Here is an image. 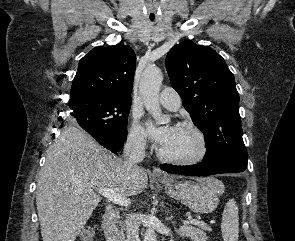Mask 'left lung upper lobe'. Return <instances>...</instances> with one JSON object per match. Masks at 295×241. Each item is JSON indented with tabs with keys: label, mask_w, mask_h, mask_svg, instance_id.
Returning a JSON list of instances; mask_svg holds the SVG:
<instances>
[{
	"label": "left lung upper lobe",
	"mask_w": 295,
	"mask_h": 241,
	"mask_svg": "<svg viewBox=\"0 0 295 241\" xmlns=\"http://www.w3.org/2000/svg\"><path fill=\"white\" fill-rule=\"evenodd\" d=\"M165 64L183 106L204 133V161L228 160L247 165L239 94L224 59L210 47L187 40L172 47Z\"/></svg>",
	"instance_id": "left-lung-upper-lobe-1"
}]
</instances>
